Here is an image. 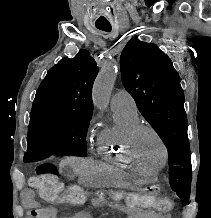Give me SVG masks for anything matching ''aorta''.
Masks as SVG:
<instances>
[{
  "mask_svg": "<svg viewBox=\"0 0 211 218\" xmlns=\"http://www.w3.org/2000/svg\"><path fill=\"white\" fill-rule=\"evenodd\" d=\"M117 76V66L106 64L99 72L93 86L92 98L94 106L100 110L107 108L110 93Z\"/></svg>",
  "mask_w": 211,
  "mask_h": 218,
  "instance_id": "obj_1",
  "label": "aorta"
}]
</instances>
